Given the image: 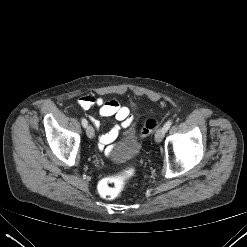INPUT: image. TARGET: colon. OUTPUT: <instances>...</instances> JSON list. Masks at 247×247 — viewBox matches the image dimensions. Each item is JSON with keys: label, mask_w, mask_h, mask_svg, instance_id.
<instances>
[{"label": "colon", "mask_w": 247, "mask_h": 247, "mask_svg": "<svg viewBox=\"0 0 247 247\" xmlns=\"http://www.w3.org/2000/svg\"><path fill=\"white\" fill-rule=\"evenodd\" d=\"M157 128V122L153 118H148L141 130V136L150 135ZM133 175V169L127 168L114 175L108 176L100 183V192L105 198H115L125 188L127 181Z\"/></svg>", "instance_id": "1"}]
</instances>
